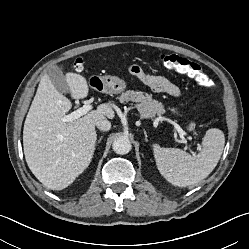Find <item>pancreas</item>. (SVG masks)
Returning <instances> with one entry per match:
<instances>
[{
    "label": "pancreas",
    "instance_id": "obj_1",
    "mask_svg": "<svg viewBox=\"0 0 249 249\" xmlns=\"http://www.w3.org/2000/svg\"><path fill=\"white\" fill-rule=\"evenodd\" d=\"M121 103L135 102L142 117L148 118L165 113V108L161 102L152 99L148 94L141 91L128 90L119 97Z\"/></svg>",
    "mask_w": 249,
    "mask_h": 249
}]
</instances>
